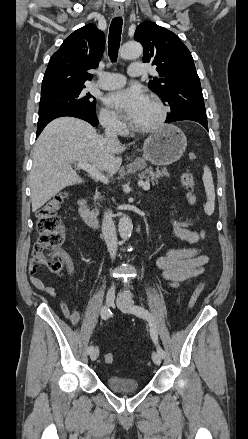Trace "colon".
I'll use <instances>...</instances> for the list:
<instances>
[{"instance_id":"obj_1","label":"colon","mask_w":248,"mask_h":439,"mask_svg":"<svg viewBox=\"0 0 248 439\" xmlns=\"http://www.w3.org/2000/svg\"><path fill=\"white\" fill-rule=\"evenodd\" d=\"M181 183L189 193L194 191L195 179L190 172L182 175ZM65 197L66 192H61L49 199L37 211L36 227L39 238L33 249V259L39 266L46 267L52 273H59L63 265L59 249L65 242V227L57 213ZM203 287L204 282H200L193 290L189 300L190 308L197 302ZM104 360L106 363H113V354L105 353Z\"/></svg>"}]
</instances>
